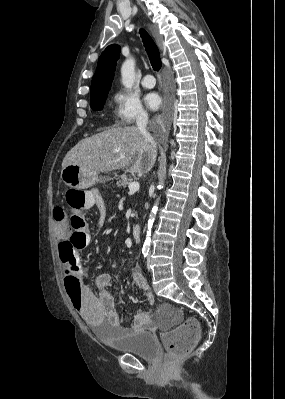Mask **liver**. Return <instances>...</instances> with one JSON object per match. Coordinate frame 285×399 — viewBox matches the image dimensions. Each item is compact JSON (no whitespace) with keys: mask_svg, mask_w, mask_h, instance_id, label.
I'll list each match as a JSON object with an SVG mask.
<instances>
[{"mask_svg":"<svg viewBox=\"0 0 285 399\" xmlns=\"http://www.w3.org/2000/svg\"><path fill=\"white\" fill-rule=\"evenodd\" d=\"M153 154L156 158L157 146L152 152L137 127H114L79 141L64 157L62 167L78 165L95 175L126 167L143 173L152 167Z\"/></svg>","mask_w":285,"mask_h":399,"instance_id":"liver-1","label":"liver"}]
</instances>
